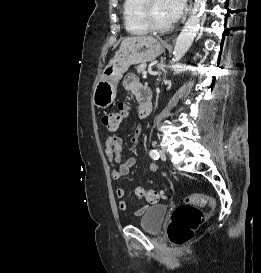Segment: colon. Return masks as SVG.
<instances>
[{
  "label": "colon",
  "instance_id": "5ec220e1",
  "mask_svg": "<svg viewBox=\"0 0 261 273\" xmlns=\"http://www.w3.org/2000/svg\"><path fill=\"white\" fill-rule=\"evenodd\" d=\"M122 119L121 112L104 114L102 123L109 130H116ZM138 197L145 199L151 204L159 203L166 198L164 192L138 187L136 189ZM208 205L210 210L204 212L198 207ZM216 209L215 199L206 194H191L186 197L185 202L175 209L171 222L168 226V238L176 246L186 244L194 235L195 230L203 223L207 217Z\"/></svg>",
  "mask_w": 261,
  "mask_h": 273
}]
</instances>
